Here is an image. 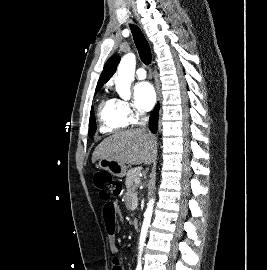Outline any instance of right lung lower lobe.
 Masks as SVG:
<instances>
[{
  "mask_svg": "<svg viewBox=\"0 0 267 270\" xmlns=\"http://www.w3.org/2000/svg\"><path fill=\"white\" fill-rule=\"evenodd\" d=\"M159 104L156 105L149 118V128L153 133L157 131Z\"/></svg>",
  "mask_w": 267,
  "mask_h": 270,
  "instance_id": "right-lung-lower-lobe-1",
  "label": "right lung lower lobe"
}]
</instances>
